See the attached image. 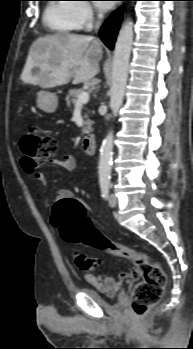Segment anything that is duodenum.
Wrapping results in <instances>:
<instances>
[{
    "label": "duodenum",
    "instance_id": "obj_1",
    "mask_svg": "<svg viewBox=\"0 0 193 349\" xmlns=\"http://www.w3.org/2000/svg\"><path fill=\"white\" fill-rule=\"evenodd\" d=\"M96 147V138L91 134H87L82 140L80 150L85 155H91L95 152Z\"/></svg>",
    "mask_w": 193,
    "mask_h": 349
}]
</instances>
